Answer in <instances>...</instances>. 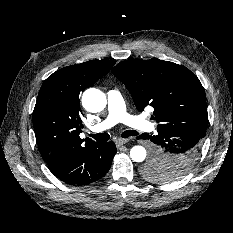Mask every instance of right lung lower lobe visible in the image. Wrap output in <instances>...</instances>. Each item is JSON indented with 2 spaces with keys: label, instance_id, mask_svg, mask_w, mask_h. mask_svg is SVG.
Masks as SVG:
<instances>
[{
  "label": "right lung lower lobe",
  "instance_id": "98d812e1",
  "mask_svg": "<svg viewBox=\"0 0 233 233\" xmlns=\"http://www.w3.org/2000/svg\"><path fill=\"white\" fill-rule=\"evenodd\" d=\"M116 152L113 142L95 144L79 153L54 175L69 185H88L108 172Z\"/></svg>",
  "mask_w": 233,
  "mask_h": 233
}]
</instances>
